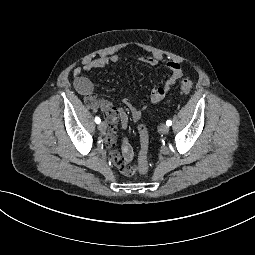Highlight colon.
<instances>
[{
    "mask_svg": "<svg viewBox=\"0 0 255 255\" xmlns=\"http://www.w3.org/2000/svg\"><path fill=\"white\" fill-rule=\"evenodd\" d=\"M192 88H193V82L189 79H184L180 83V90L183 93L190 92ZM139 136H140V151H139L137 168L141 174H145L148 170L146 157H147V151L149 147V130L146 125H141L139 127Z\"/></svg>",
    "mask_w": 255,
    "mask_h": 255,
    "instance_id": "colon-1",
    "label": "colon"
}]
</instances>
